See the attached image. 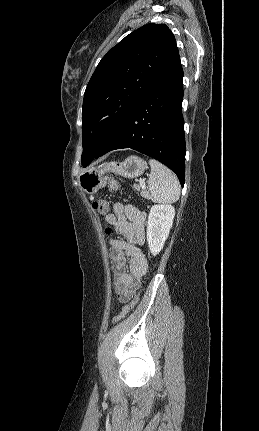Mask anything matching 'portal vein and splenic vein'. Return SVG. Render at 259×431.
Returning <instances> with one entry per match:
<instances>
[{
	"instance_id": "18ae733b",
	"label": "portal vein and splenic vein",
	"mask_w": 259,
	"mask_h": 431,
	"mask_svg": "<svg viewBox=\"0 0 259 431\" xmlns=\"http://www.w3.org/2000/svg\"><path fill=\"white\" fill-rule=\"evenodd\" d=\"M140 185H142V187H145V182H144V180H140Z\"/></svg>"
}]
</instances>
